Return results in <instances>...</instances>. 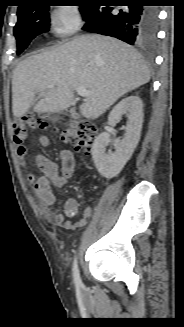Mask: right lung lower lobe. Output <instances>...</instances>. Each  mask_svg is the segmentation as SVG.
<instances>
[{
	"instance_id": "1",
	"label": "right lung lower lobe",
	"mask_w": 184,
	"mask_h": 327,
	"mask_svg": "<svg viewBox=\"0 0 184 327\" xmlns=\"http://www.w3.org/2000/svg\"><path fill=\"white\" fill-rule=\"evenodd\" d=\"M128 6L95 5L84 18L83 30L116 37L131 45L151 46L158 29V11L143 7L142 0H129Z\"/></svg>"
}]
</instances>
